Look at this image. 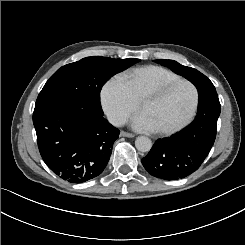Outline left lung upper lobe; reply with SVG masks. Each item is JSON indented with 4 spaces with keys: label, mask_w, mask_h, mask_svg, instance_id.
<instances>
[{
    "label": "left lung upper lobe",
    "mask_w": 245,
    "mask_h": 245,
    "mask_svg": "<svg viewBox=\"0 0 245 245\" xmlns=\"http://www.w3.org/2000/svg\"><path fill=\"white\" fill-rule=\"evenodd\" d=\"M157 63L170 68L175 73L182 75L195 86L203 81L209 80L205 75L200 73L198 70L186 67L173 60H156Z\"/></svg>",
    "instance_id": "1"
}]
</instances>
